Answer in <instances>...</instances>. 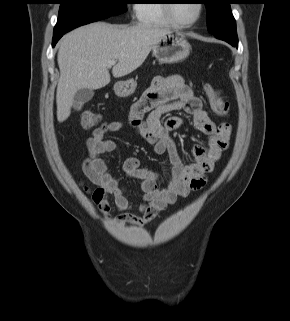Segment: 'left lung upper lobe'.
<instances>
[{"label": "left lung upper lobe", "mask_w": 290, "mask_h": 321, "mask_svg": "<svg viewBox=\"0 0 290 321\" xmlns=\"http://www.w3.org/2000/svg\"><path fill=\"white\" fill-rule=\"evenodd\" d=\"M207 8V27L213 35L236 31V21L232 15V0H203Z\"/></svg>", "instance_id": "5c2ea615"}]
</instances>
